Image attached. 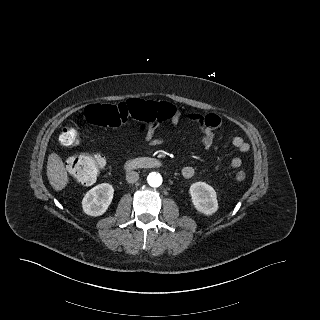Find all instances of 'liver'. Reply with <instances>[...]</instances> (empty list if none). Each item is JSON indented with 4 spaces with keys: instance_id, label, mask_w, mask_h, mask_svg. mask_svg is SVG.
<instances>
[{
    "instance_id": "1",
    "label": "liver",
    "mask_w": 320,
    "mask_h": 320,
    "mask_svg": "<svg viewBox=\"0 0 320 320\" xmlns=\"http://www.w3.org/2000/svg\"><path fill=\"white\" fill-rule=\"evenodd\" d=\"M47 176L49 183L56 191L64 189L69 182V177L65 171L64 163L61 157L56 153H51L48 157Z\"/></svg>"
}]
</instances>
